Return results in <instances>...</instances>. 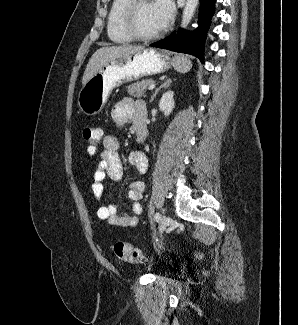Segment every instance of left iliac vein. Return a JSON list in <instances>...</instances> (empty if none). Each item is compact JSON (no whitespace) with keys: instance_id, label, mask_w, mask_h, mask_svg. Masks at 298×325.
Returning <instances> with one entry per match:
<instances>
[{"instance_id":"4c4485c4","label":"left iliac vein","mask_w":298,"mask_h":325,"mask_svg":"<svg viewBox=\"0 0 298 325\" xmlns=\"http://www.w3.org/2000/svg\"><path fill=\"white\" fill-rule=\"evenodd\" d=\"M169 221H170V219L167 217V216H165V215H163L162 217H161V219H160V223H159V232L160 233H163L164 231H165V229L168 227V225H169Z\"/></svg>"}]
</instances>
